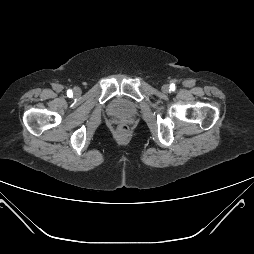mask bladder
<instances>
[{"label": "bladder", "instance_id": "bladder-1", "mask_svg": "<svg viewBox=\"0 0 254 254\" xmlns=\"http://www.w3.org/2000/svg\"><path fill=\"white\" fill-rule=\"evenodd\" d=\"M108 112L116 117H131L137 113V105L127 98L116 97L110 102Z\"/></svg>", "mask_w": 254, "mask_h": 254}]
</instances>
